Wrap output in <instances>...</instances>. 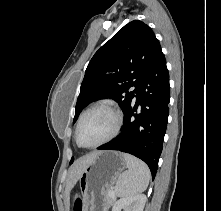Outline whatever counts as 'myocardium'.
<instances>
[{
    "label": "myocardium",
    "instance_id": "f54148a6",
    "mask_svg": "<svg viewBox=\"0 0 221 211\" xmlns=\"http://www.w3.org/2000/svg\"><path fill=\"white\" fill-rule=\"evenodd\" d=\"M96 109H105L107 111H109L113 116H114V127L111 131V133L104 138L103 140L92 144V145H83L80 140H79V132H80V127L82 125V122L84 120V118L92 111L96 110ZM122 114L121 112L114 107L113 105H111L110 103L107 102H98L94 105H92L91 107H89L88 109H86L81 117L79 118V121L77 123V127H76V132H75V139L77 144L82 147V148H96L99 146H102L108 142H110L111 140H113L119 133L121 126H122Z\"/></svg>",
    "mask_w": 221,
    "mask_h": 211
}]
</instances>
